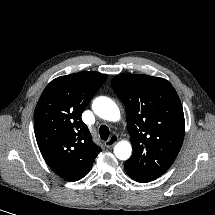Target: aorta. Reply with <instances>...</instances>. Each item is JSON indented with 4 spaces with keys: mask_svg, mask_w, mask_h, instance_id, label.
<instances>
[{
    "mask_svg": "<svg viewBox=\"0 0 215 215\" xmlns=\"http://www.w3.org/2000/svg\"><path fill=\"white\" fill-rule=\"evenodd\" d=\"M94 113L102 119L117 121L120 118V111L114 101L108 97H98L93 101ZM132 147L127 141H120L114 147V154L120 160H127L131 156Z\"/></svg>",
    "mask_w": 215,
    "mask_h": 215,
    "instance_id": "obj_1",
    "label": "aorta"
}]
</instances>
